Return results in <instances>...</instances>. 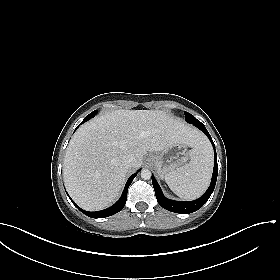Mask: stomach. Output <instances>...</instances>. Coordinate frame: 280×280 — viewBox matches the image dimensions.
Here are the masks:
<instances>
[{
  "label": "stomach",
  "mask_w": 280,
  "mask_h": 280,
  "mask_svg": "<svg viewBox=\"0 0 280 280\" xmlns=\"http://www.w3.org/2000/svg\"><path fill=\"white\" fill-rule=\"evenodd\" d=\"M191 156L184 143H175L163 151L149 156L148 161L159 176L166 174L183 166Z\"/></svg>",
  "instance_id": "stomach-1"
}]
</instances>
